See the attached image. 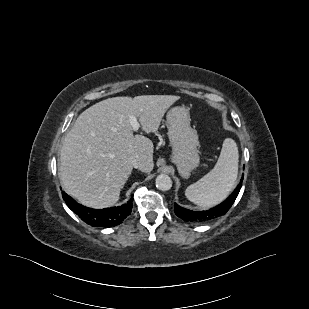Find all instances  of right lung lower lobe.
<instances>
[{"instance_id": "obj_1", "label": "right lung lower lobe", "mask_w": 309, "mask_h": 309, "mask_svg": "<svg viewBox=\"0 0 309 309\" xmlns=\"http://www.w3.org/2000/svg\"><path fill=\"white\" fill-rule=\"evenodd\" d=\"M67 206L84 222L95 227H112L122 223L132 211L133 197L124 205L105 209H91L78 204L73 198L62 192Z\"/></svg>"}]
</instances>
